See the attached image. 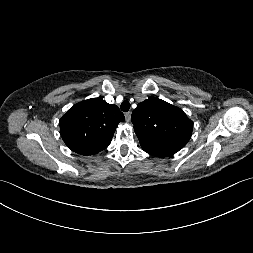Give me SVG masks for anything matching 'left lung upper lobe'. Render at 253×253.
<instances>
[{
	"label": "left lung upper lobe",
	"mask_w": 253,
	"mask_h": 253,
	"mask_svg": "<svg viewBox=\"0 0 253 253\" xmlns=\"http://www.w3.org/2000/svg\"><path fill=\"white\" fill-rule=\"evenodd\" d=\"M131 119L143 150L153 156L175 154L192 135L193 123L183 110L156 97L139 103Z\"/></svg>",
	"instance_id": "1"
}]
</instances>
